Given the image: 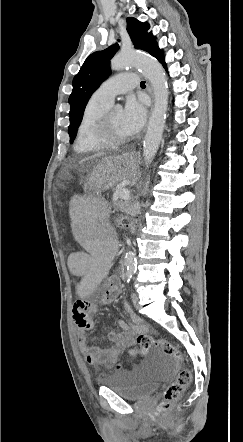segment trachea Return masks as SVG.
<instances>
[{"instance_id": "3493384b", "label": "trachea", "mask_w": 243, "mask_h": 442, "mask_svg": "<svg viewBox=\"0 0 243 442\" xmlns=\"http://www.w3.org/2000/svg\"><path fill=\"white\" fill-rule=\"evenodd\" d=\"M140 86L145 87V81H141Z\"/></svg>"}]
</instances>
